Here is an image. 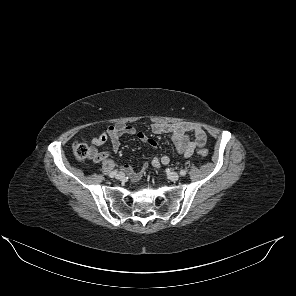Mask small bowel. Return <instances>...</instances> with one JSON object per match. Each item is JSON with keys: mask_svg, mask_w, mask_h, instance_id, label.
Instances as JSON below:
<instances>
[{"mask_svg": "<svg viewBox=\"0 0 296 296\" xmlns=\"http://www.w3.org/2000/svg\"><path fill=\"white\" fill-rule=\"evenodd\" d=\"M151 131L154 134L170 135L176 151L184 158L190 157L197 148H201L206 143V134L204 130L196 124L190 122L165 123L157 122L151 125ZM123 135H137V137L149 144L152 147L157 146V142L150 139L144 131H137V129L125 123L111 125L104 129L101 134L90 140L94 146H100L107 140L111 142L112 151L117 153L121 148L120 138ZM110 156L109 152H96L92 158L96 162L106 160ZM170 157L164 155L162 157H153L151 164L154 168L159 169L162 165H168ZM147 164L145 163L140 171H136L131 165H124L123 170L127 173L132 181H137L145 172Z\"/></svg>", "mask_w": 296, "mask_h": 296, "instance_id": "small-bowel-1", "label": "small bowel"}]
</instances>
